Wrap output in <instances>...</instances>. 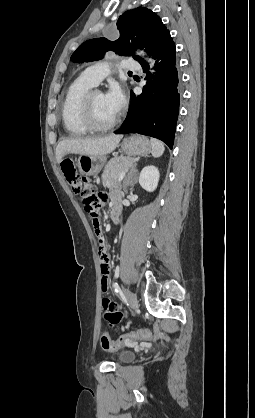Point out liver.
<instances>
[{
  "mask_svg": "<svg viewBox=\"0 0 255 418\" xmlns=\"http://www.w3.org/2000/svg\"><path fill=\"white\" fill-rule=\"evenodd\" d=\"M123 135L111 134L100 138H69L60 141L56 147V160L63 161L67 154L107 155L113 152Z\"/></svg>",
  "mask_w": 255,
  "mask_h": 418,
  "instance_id": "1",
  "label": "liver"
}]
</instances>
